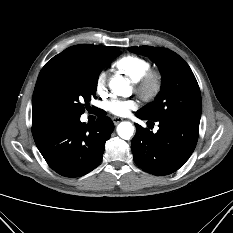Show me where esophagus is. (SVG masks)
I'll return each instance as SVG.
<instances>
[{
	"label": "esophagus",
	"instance_id": "obj_1",
	"mask_svg": "<svg viewBox=\"0 0 233 233\" xmlns=\"http://www.w3.org/2000/svg\"><path fill=\"white\" fill-rule=\"evenodd\" d=\"M123 119L122 118H120V117H116V116H114V117H112V121H113V123L115 124V125H117L119 122H121Z\"/></svg>",
	"mask_w": 233,
	"mask_h": 233
}]
</instances>
